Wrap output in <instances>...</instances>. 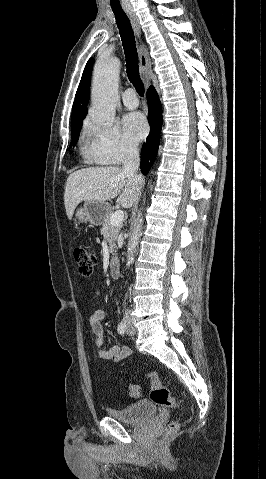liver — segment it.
<instances>
[{
    "mask_svg": "<svg viewBox=\"0 0 266 479\" xmlns=\"http://www.w3.org/2000/svg\"><path fill=\"white\" fill-rule=\"evenodd\" d=\"M144 179L124 173L117 166L91 167L71 173L66 182L64 204L68 219H72L82 201H103L118 197L117 203L130 208L138 200Z\"/></svg>",
    "mask_w": 266,
    "mask_h": 479,
    "instance_id": "obj_1",
    "label": "liver"
}]
</instances>
